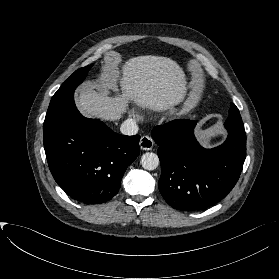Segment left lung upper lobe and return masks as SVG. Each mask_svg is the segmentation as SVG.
<instances>
[{
  "label": "left lung upper lobe",
  "instance_id": "5c2ea615",
  "mask_svg": "<svg viewBox=\"0 0 279 279\" xmlns=\"http://www.w3.org/2000/svg\"><path fill=\"white\" fill-rule=\"evenodd\" d=\"M225 124L231 125L239 129H244V124L242 122L239 110L234 104H231V108L229 110V117L226 120Z\"/></svg>",
  "mask_w": 279,
  "mask_h": 279
}]
</instances>
